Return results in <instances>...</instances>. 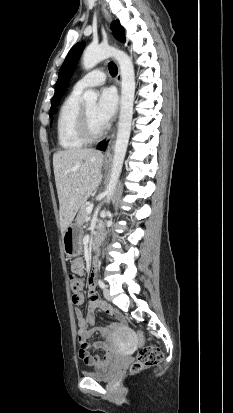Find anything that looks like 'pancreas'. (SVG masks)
Here are the masks:
<instances>
[{
    "instance_id": "obj_1",
    "label": "pancreas",
    "mask_w": 233,
    "mask_h": 413,
    "mask_svg": "<svg viewBox=\"0 0 233 413\" xmlns=\"http://www.w3.org/2000/svg\"><path fill=\"white\" fill-rule=\"evenodd\" d=\"M87 207H88V205H87V204H84V205L80 208V210H79V212H78V215H77V218H76V222H77L78 225H81V226H82V225H84V224L89 220L90 213H88V212L86 211Z\"/></svg>"
}]
</instances>
